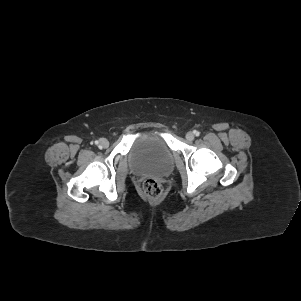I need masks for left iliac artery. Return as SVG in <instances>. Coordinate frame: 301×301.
<instances>
[{"label": "left iliac artery", "instance_id": "1", "mask_svg": "<svg viewBox=\"0 0 301 301\" xmlns=\"http://www.w3.org/2000/svg\"><path fill=\"white\" fill-rule=\"evenodd\" d=\"M194 134L196 135V136H199V132L198 131H194Z\"/></svg>", "mask_w": 301, "mask_h": 301}]
</instances>
